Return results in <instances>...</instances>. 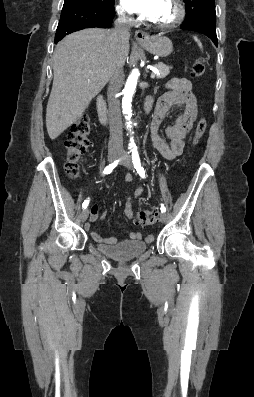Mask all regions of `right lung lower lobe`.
I'll return each mask as SVG.
<instances>
[{"mask_svg":"<svg viewBox=\"0 0 254 397\" xmlns=\"http://www.w3.org/2000/svg\"><path fill=\"white\" fill-rule=\"evenodd\" d=\"M114 14V9L100 10L65 0L54 42L56 44L67 34L84 28L110 27Z\"/></svg>","mask_w":254,"mask_h":397,"instance_id":"1","label":"right lung lower lobe"}]
</instances>
